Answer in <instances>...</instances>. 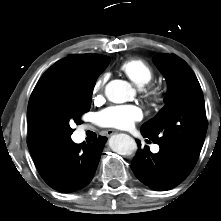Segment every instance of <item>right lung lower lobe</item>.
<instances>
[{"mask_svg":"<svg viewBox=\"0 0 221 221\" xmlns=\"http://www.w3.org/2000/svg\"><path fill=\"white\" fill-rule=\"evenodd\" d=\"M107 138L100 136L84 146L72 140L59 147L33 156L43 180L60 192H73L85 187L93 178Z\"/></svg>","mask_w":221,"mask_h":221,"instance_id":"obj_1","label":"right lung lower lobe"}]
</instances>
